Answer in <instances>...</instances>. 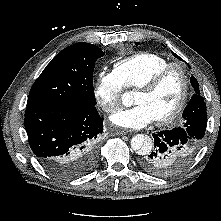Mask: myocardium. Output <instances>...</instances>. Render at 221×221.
Wrapping results in <instances>:
<instances>
[{"mask_svg": "<svg viewBox=\"0 0 221 221\" xmlns=\"http://www.w3.org/2000/svg\"><path fill=\"white\" fill-rule=\"evenodd\" d=\"M173 69H177L181 74L183 82L182 93L177 105L169 114L155 119V122L158 125H166L173 122L179 117L186 106L190 94V80L186 68L178 62H171L158 70L150 79L137 88V91L147 93L154 91L160 85L166 75Z\"/></svg>", "mask_w": 221, "mask_h": 221, "instance_id": "1", "label": "myocardium"}]
</instances>
